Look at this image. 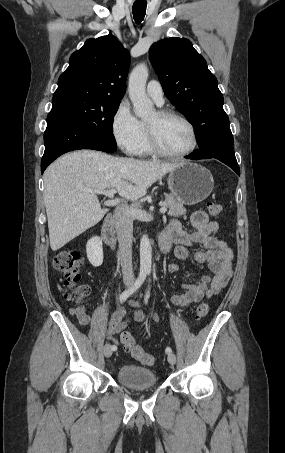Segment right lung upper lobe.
<instances>
[{"label":"right lung upper lobe","mask_w":285,"mask_h":453,"mask_svg":"<svg viewBox=\"0 0 285 453\" xmlns=\"http://www.w3.org/2000/svg\"><path fill=\"white\" fill-rule=\"evenodd\" d=\"M129 52L109 34L86 40L69 59L58 79L52 100L70 96L107 97L121 100L125 93Z\"/></svg>","instance_id":"cb5924a9"}]
</instances>
